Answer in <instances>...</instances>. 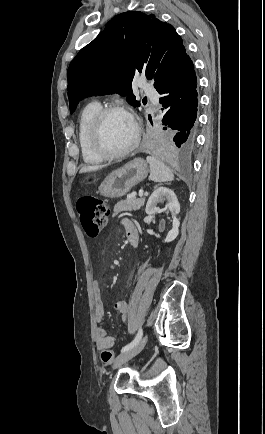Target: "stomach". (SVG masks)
<instances>
[{
	"label": "stomach",
	"mask_w": 265,
	"mask_h": 434,
	"mask_svg": "<svg viewBox=\"0 0 265 434\" xmlns=\"http://www.w3.org/2000/svg\"><path fill=\"white\" fill-rule=\"evenodd\" d=\"M148 172L147 162L143 158H135L123 168L109 174L99 186V192L105 198H121L128 194L133 186L145 180Z\"/></svg>",
	"instance_id": "stomach-1"
}]
</instances>
